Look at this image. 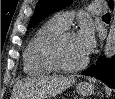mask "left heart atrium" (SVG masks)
Returning a JSON list of instances; mask_svg holds the SVG:
<instances>
[{
  "label": "left heart atrium",
  "mask_w": 115,
  "mask_h": 99,
  "mask_svg": "<svg viewBox=\"0 0 115 99\" xmlns=\"http://www.w3.org/2000/svg\"><path fill=\"white\" fill-rule=\"evenodd\" d=\"M83 53L88 56L95 47V36L92 27L84 25L76 35Z\"/></svg>",
  "instance_id": "left-heart-atrium-1"
}]
</instances>
